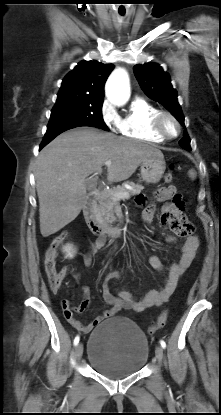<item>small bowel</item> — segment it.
<instances>
[{
	"instance_id": "c3829d8e",
	"label": "small bowel",
	"mask_w": 221,
	"mask_h": 415,
	"mask_svg": "<svg viewBox=\"0 0 221 415\" xmlns=\"http://www.w3.org/2000/svg\"><path fill=\"white\" fill-rule=\"evenodd\" d=\"M169 201L162 211L161 222L168 224L175 234L183 236L193 232V226L188 222L187 211L184 210V205L180 194L174 186L161 187L154 193V202L146 204V199L143 195L137 197V203L145 205L142 212V219L146 224H150L155 216V202ZM176 240L174 236H169L167 241L173 243ZM105 244V238L100 237L92 246L91 252L85 258V264H91V254L99 250ZM200 247V240L196 235H189L180 249V257L178 261L166 266L163 261L156 255L149 258V264L153 269L159 273L165 274L164 286L159 290H151L140 298L128 291H119L116 295L109 290V282L112 280H120V273L117 271L108 272L103 279L102 292L103 299L110 307L103 311V313L93 319L88 325H84L73 317V310L82 313L89 305V290L87 287L83 288L84 299L74 309L71 308L70 303L64 300L62 303L64 315L68 322L76 329L82 332H89L92 328L99 325L104 319L113 317L119 311L133 310L136 312L144 311L152 306H159L166 303L177 288L178 282L185 274L187 269L194 261Z\"/></svg>"
}]
</instances>
